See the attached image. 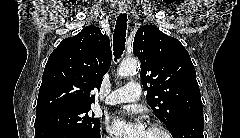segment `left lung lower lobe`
Segmentation results:
<instances>
[{
	"label": "left lung lower lobe",
	"mask_w": 240,
	"mask_h": 138,
	"mask_svg": "<svg viewBox=\"0 0 240 138\" xmlns=\"http://www.w3.org/2000/svg\"><path fill=\"white\" fill-rule=\"evenodd\" d=\"M203 126V116H193L179 122L170 132L173 138H204Z\"/></svg>",
	"instance_id": "1"
}]
</instances>
